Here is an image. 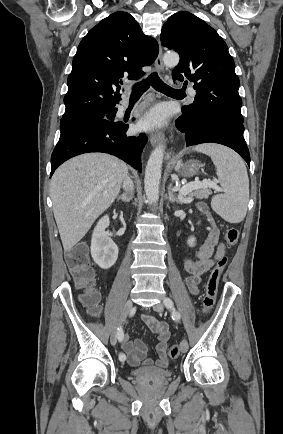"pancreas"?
Here are the masks:
<instances>
[{"instance_id":"1","label":"pancreas","mask_w":283,"mask_h":434,"mask_svg":"<svg viewBox=\"0 0 283 434\" xmlns=\"http://www.w3.org/2000/svg\"><path fill=\"white\" fill-rule=\"evenodd\" d=\"M211 190L208 189V187H199L193 190L190 194H188L189 197H196L198 199H207L209 195L211 194Z\"/></svg>"}]
</instances>
